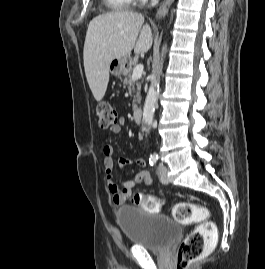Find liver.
<instances>
[{
  "instance_id": "liver-1",
  "label": "liver",
  "mask_w": 265,
  "mask_h": 269,
  "mask_svg": "<svg viewBox=\"0 0 265 269\" xmlns=\"http://www.w3.org/2000/svg\"><path fill=\"white\" fill-rule=\"evenodd\" d=\"M137 12L118 10L101 14L89 23L83 51L87 82L96 101H101L109 82L113 59L146 53L152 46V31Z\"/></svg>"
}]
</instances>
